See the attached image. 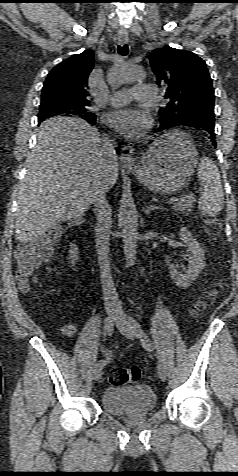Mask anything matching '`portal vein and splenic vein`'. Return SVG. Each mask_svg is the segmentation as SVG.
Instances as JSON below:
<instances>
[{
    "label": "portal vein and splenic vein",
    "instance_id": "1",
    "mask_svg": "<svg viewBox=\"0 0 238 476\" xmlns=\"http://www.w3.org/2000/svg\"><path fill=\"white\" fill-rule=\"evenodd\" d=\"M178 200H179V199H178L177 197H172V198H170V199L167 201V203L173 204V203L177 202Z\"/></svg>",
    "mask_w": 238,
    "mask_h": 476
}]
</instances>
